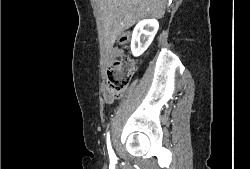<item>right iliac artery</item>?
I'll return each mask as SVG.
<instances>
[{"label":"right iliac artery","mask_w":250,"mask_h":169,"mask_svg":"<svg viewBox=\"0 0 250 169\" xmlns=\"http://www.w3.org/2000/svg\"><path fill=\"white\" fill-rule=\"evenodd\" d=\"M107 148H108V153H109V158H110V161L113 162V161H116V155L111 147V143H110V134L109 132L107 133Z\"/></svg>","instance_id":"82829eb1"}]
</instances>
